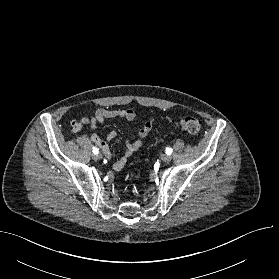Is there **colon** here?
<instances>
[{"instance_id":"obj_1","label":"colon","mask_w":279,"mask_h":279,"mask_svg":"<svg viewBox=\"0 0 279 279\" xmlns=\"http://www.w3.org/2000/svg\"><path fill=\"white\" fill-rule=\"evenodd\" d=\"M176 126L190 134H198L202 130V122L191 116L183 117Z\"/></svg>"}]
</instances>
